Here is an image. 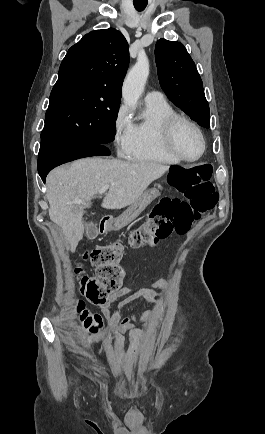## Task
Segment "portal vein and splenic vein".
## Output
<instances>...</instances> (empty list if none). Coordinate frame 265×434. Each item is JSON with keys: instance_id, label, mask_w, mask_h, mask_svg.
Here are the masks:
<instances>
[{"instance_id": "1", "label": "portal vein and splenic vein", "mask_w": 265, "mask_h": 434, "mask_svg": "<svg viewBox=\"0 0 265 434\" xmlns=\"http://www.w3.org/2000/svg\"><path fill=\"white\" fill-rule=\"evenodd\" d=\"M108 188H110V186H102L101 190H99V194H104V192H107ZM68 204H81V206H83L85 202L84 200H72V202H68Z\"/></svg>"}]
</instances>
